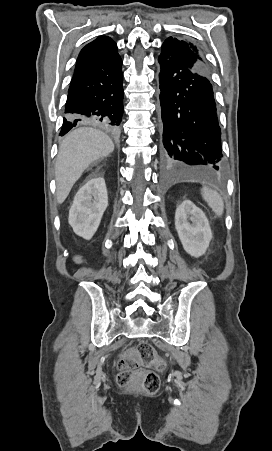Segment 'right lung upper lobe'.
Instances as JSON below:
<instances>
[{
    "label": "right lung upper lobe",
    "mask_w": 272,
    "mask_h": 451,
    "mask_svg": "<svg viewBox=\"0 0 272 451\" xmlns=\"http://www.w3.org/2000/svg\"><path fill=\"white\" fill-rule=\"evenodd\" d=\"M116 52V43L110 37L100 36L81 50L76 65L108 57Z\"/></svg>",
    "instance_id": "cb5924a9"
}]
</instances>
